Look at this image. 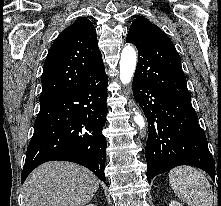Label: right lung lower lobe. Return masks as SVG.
<instances>
[{
    "mask_svg": "<svg viewBox=\"0 0 221 206\" xmlns=\"http://www.w3.org/2000/svg\"><path fill=\"white\" fill-rule=\"evenodd\" d=\"M107 83L103 73L78 89L40 104L22 183L37 166L52 160L81 164L106 181L107 142L102 130L107 115Z\"/></svg>",
    "mask_w": 221,
    "mask_h": 206,
    "instance_id": "obj_1",
    "label": "right lung lower lobe"
}]
</instances>
